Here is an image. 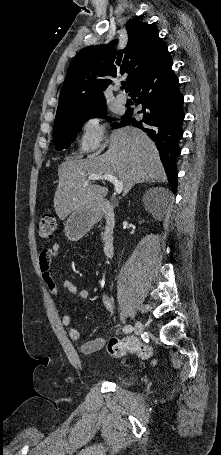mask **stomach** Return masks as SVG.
<instances>
[{
    "instance_id": "0dacf381",
    "label": "stomach",
    "mask_w": 221,
    "mask_h": 455,
    "mask_svg": "<svg viewBox=\"0 0 221 455\" xmlns=\"http://www.w3.org/2000/svg\"><path fill=\"white\" fill-rule=\"evenodd\" d=\"M101 217V203H87L73 210L64 223V232L70 241L80 240Z\"/></svg>"
}]
</instances>
